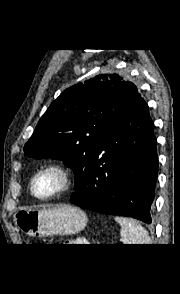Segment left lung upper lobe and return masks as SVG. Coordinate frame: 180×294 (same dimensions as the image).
<instances>
[{"instance_id": "5c2ea615", "label": "left lung upper lobe", "mask_w": 180, "mask_h": 294, "mask_svg": "<svg viewBox=\"0 0 180 294\" xmlns=\"http://www.w3.org/2000/svg\"><path fill=\"white\" fill-rule=\"evenodd\" d=\"M137 87L118 74H101L60 94L25 144L26 155L62 159L78 192L102 140L127 112Z\"/></svg>"}]
</instances>
